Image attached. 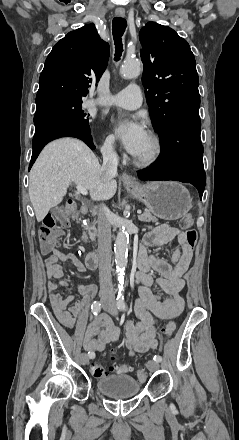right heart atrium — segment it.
<instances>
[{
	"instance_id": "obj_1",
	"label": "right heart atrium",
	"mask_w": 239,
	"mask_h": 440,
	"mask_svg": "<svg viewBox=\"0 0 239 440\" xmlns=\"http://www.w3.org/2000/svg\"><path fill=\"white\" fill-rule=\"evenodd\" d=\"M103 153L106 155H112L115 153V146L112 139L108 138L103 146Z\"/></svg>"
}]
</instances>
